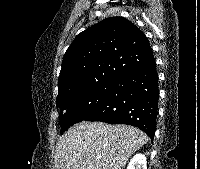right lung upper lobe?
<instances>
[{
  "label": "right lung upper lobe",
  "instance_id": "right-lung-upper-lobe-1",
  "mask_svg": "<svg viewBox=\"0 0 200 169\" xmlns=\"http://www.w3.org/2000/svg\"><path fill=\"white\" fill-rule=\"evenodd\" d=\"M154 63L149 41L137 26L122 17L106 18L78 34L67 49L57 100Z\"/></svg>",
  "mask_w": 200,
  "mask_h": 169
}]
</instances>
